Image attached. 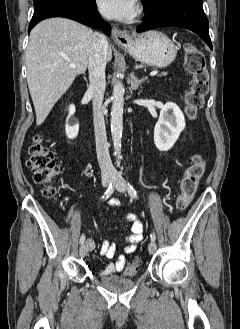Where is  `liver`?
<instances>
[{
    "label": "liver",
    "mask_w": 240,
    "mask_h": 329,
    "mask_svg": "<svg viewBox=\"0 0 240 329\" xmlns=\"http://www.w3.org/2000/svg\"><path fill=\"white\" fill-rule=\"evenodd\" d=\"M93 31L75 21L52 18L37 24L26 49L27 83L40 126L75 78L88 66ZM112 51L107 48V61ZM74 63L76 68H71Z\"/></svg>",
    "instance_id": "liver-1"
}]
</instances>
